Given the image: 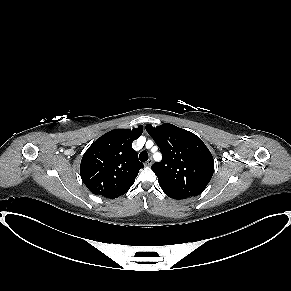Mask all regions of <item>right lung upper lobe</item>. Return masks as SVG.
<instances>
[{
	"mask_svg": "<svg viewBox=\"0 0 291 291\" xmlns=\"http://www.w3.org/2000/svg\"><path fill=\"white\" fill-rule=\"evenodd\" d=\"M143 127L115 129L98 138L84 153L80 174L84 184L95 195L114 199L133 185L144 165L132 149Z\"/></svg>",
	"mask_w": 291,
	"mask_h": 291,
	"instance_id": "obj_1",
	"label": "right lung upper lobe"
}]
</instances>
